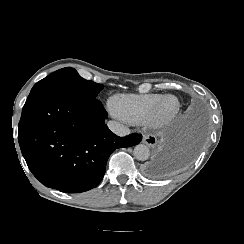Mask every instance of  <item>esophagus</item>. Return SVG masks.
Returning <instances> with one entry per match:
<instances>
[{
	"instance_id": "34e87169",
	"label": "esophagus",
	"mask_w": 244,
	"mask_h": 244,
	"mask_svg": "<svg viewBox=\"0 0 244 244\" xmlns=\"http://www.w3.org/2000/svg\"><path fill=\"white\" fill-rule=\"evenodd\" d=\"M142 143L146 144L149 148H154L157 145V138L153 134H145L143 135Z\"/></svg>"
}]
</instances>
